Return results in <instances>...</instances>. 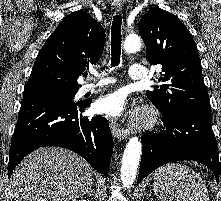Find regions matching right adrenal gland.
Listing matches in <instances>:
<instances>
[{"instance_id": "right-adrenal-gland-1", "label": "right adrenal gland", "mask_w": 221, "mask_h": 201, "mask_svg": "<svg viewBox=\"0 0 221 201\" xmlns=\"http://www.w3.org/2000/svg\"><path fill=\"white\" fill-rule=\"evenodd\" d=\"M85 194H89L90 196H92L93 195V188H92V186L89 188V190L88 191H86V193Z\"/></svg>"}]
</instances>
